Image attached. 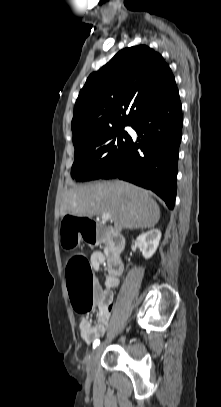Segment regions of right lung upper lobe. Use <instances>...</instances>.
<instances>
[{
	"label": "right lung upper lobe",
	"instance_id": "1",
	"mask_svg": "<svg viewBox=\"0 0 221 407\" xmlns=\"http://www.w3.org/2000/svg\"><path fill=\"white\" fill-rule=\"evenodd\" d=\"M174 88L172 71L159 53L146 45L121 50L81 89L71 123L73 144L134 124Z\"/></svg>",
	"mask_w": 221,
	"mask_h": 407
}]
</instances>
